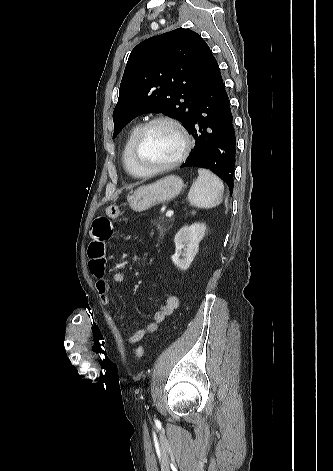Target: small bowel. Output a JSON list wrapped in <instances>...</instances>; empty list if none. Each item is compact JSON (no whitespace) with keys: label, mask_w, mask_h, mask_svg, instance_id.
<instances>
[{"label":"small bowel","mask_w":333,"mask_h":471,"mask_svg":"<svg viewBox=\"0 0 333 471\" xmlns=\"http://www.w3.org/2000/svg\"><path fill=\"white\" fill-rule=\"evenodd\" d=\"M113 234V226L110 218L107 216H99L95 218L91 226V243L88 248L89 269L92 275L97 279L96 289L99 294L102 304L109 305L110 300V283L105 279L106 271V242ZM112 280L115 283H122L125 280V275L116 271L112 275ZM179 306L178 297L174 294L168 293L164 297V302L161 308L155 312L153 320L145 327L137 329L133 334L128 337L130 343H136L142 340L147 334L157 330V328L171 316Z\"/></svg>","instance_id":"obj_1"}]
</instances>
